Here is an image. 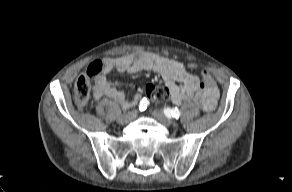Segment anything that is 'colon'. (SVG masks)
<instances>
[{
  "mask_svg": "<svg viewBox=\"0 0 292 192\" xmlns=\"http://www.w3.org/2000/svg\"><path fill=\"white\" fill-rule=\"evenodd\" d=\"M106 64L101 60L93 61L83 72L74 85V100L77 106L84 107L90 96V82L105 70ZM147 98L155 103L169 99V92L165 87L149 84L145 88Z\"/></svg>",
  "mask_w": 292,
  "mask_h": 192,
  "instance_id": "1",
  "label": "colon"
}]
</instances>
